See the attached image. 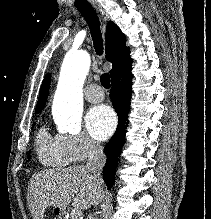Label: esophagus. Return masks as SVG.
<instances>
[{
  "mask_svg": "<svg viewBox=\"0 0 211 219\" xmlns=\"http://www.w3.org/2000/svg\"><path fill=\"white\" fill-rule=\"evenodd\" d=\"M94 7L96 8V10H100L99 7L97 5H94Z\"/></svg>",
  "mask_w": 211,
  "mask_h": 219,
  "instance_id": "1",
  "label": "esophagus"
}]
</instances>
